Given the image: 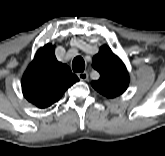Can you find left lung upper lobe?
Wrapping results in <instances>:
<instances>
[{
    "mask_svg": "<svg viewBox=\"0 0 165 156\" xmlns=\"http://www.w3.org/2000/svg\"><path fill=\"white\" fill-rule=\"evenodd\" d=\"M92 66L100 73V78L92 81L91 85L100 94L114 98L125 92L129 84L128 72L124 63L108 46L100 48L93 57Z\"/></svg>",
    "mask_w": 165,
    "mask_h": 156,
    "instance_id": "5c2ea615",
    "label": "left lung upper lobe"
}]
</instances>
